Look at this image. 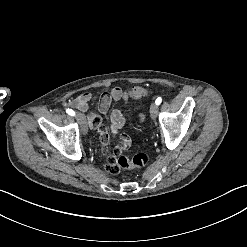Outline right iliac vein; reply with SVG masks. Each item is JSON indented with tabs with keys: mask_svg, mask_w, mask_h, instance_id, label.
<instances>
[{
	"mask_svg": "<svg viewBox=\"0 0 247 247\" xmlns=\"http://www.w3.org/2000/svg\"><path fill=\"white\" fill-rule=\"evenodd\" d=\"M77 118L80 123L81 131L84 135L88 133V125L83 115L77 114Z\"/></svg>",
	"mask_w": 247,
	"mask_h": 247,
	"instance_id": "1",
	"label": "right iliac vein"
}]
</instances>
